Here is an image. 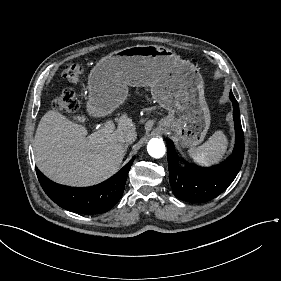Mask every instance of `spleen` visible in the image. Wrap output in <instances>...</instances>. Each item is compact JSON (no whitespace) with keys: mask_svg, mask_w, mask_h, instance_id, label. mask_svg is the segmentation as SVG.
Returning a JSON list of instances; mask_svg holds the SVG:
<instances>
[{"mask_svg":"<svg viewBox=\"0 0 281 281\" xmlns=\"http://www.w3.org/2000/svg\"><path fill=\"white\" fill-rule=\"evenodd\" d=\"M228 140L222 131H216L204 144L188 150L194 162L210 166L218 163L227 150Z\"/></svg>","mask_w":281,"mask_h":281,"instance_id":"spleen-1","label":"spleen"}]
</instances>
